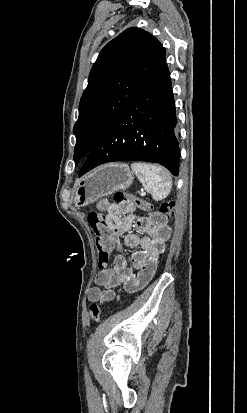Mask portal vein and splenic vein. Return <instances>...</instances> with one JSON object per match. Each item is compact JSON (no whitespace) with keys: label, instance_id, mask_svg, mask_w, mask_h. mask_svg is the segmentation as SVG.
<instances>
[{"label":"portal vein and splenic vein","instance_id":"obj_1","mask_svg":"<svg viewBox=\"0 0 247 413\" xmlns=\"http://www.w3.org/2000/svg\"><path fill=\"white\" fill-rule=\"evenodd\" d=\"M141 193H140V196L141 197H144L145 196V192H143L142 190L140 191Z\"/></svg>","mask_w":247,"mask_h":413}]
</instances>
